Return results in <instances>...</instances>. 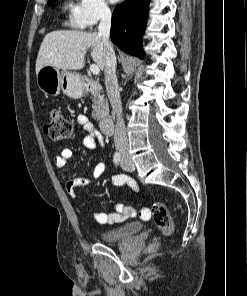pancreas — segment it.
I'll list each match as a JSON object with an SVG mask.
<instances>
[{
	"mask_svg": "<svg viewBox=\"0 0 247 296\" xmlns=\"http://www.w3.org/2000/svg\"><path fill=\"white\" fill-rule=\"evenodd\" d=\"M92 102V117L95 120L99 121L109 115V107L104 95H102L100 92L93 94Z\"/></svg>",
	"mask_w": 247,
	"mask_h": 296,
	"instance_id": "pancreas-1",
	"label": "pancreas"
}]
</instances>
